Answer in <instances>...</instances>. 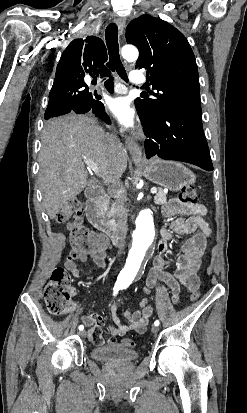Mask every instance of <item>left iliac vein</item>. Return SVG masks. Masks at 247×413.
I'll use <instances>...</instances> for the list:
<instances>
[{
  "instance_id": "left-iliac-vein-1",
  "label": "left iliac vein",
  "mask_w": 247,
  "mask_h": 413,
  "mask_svg": "<svg viewBox=\"0 0 247 413\" xmlns=\"http://www.w3.org/2000/svg\"><path fill=\"white\" fill-rule=\"evenodd\" d=\"M159 328L158 326H152V333H158Z\"/></svg>"
}]
</instances>
